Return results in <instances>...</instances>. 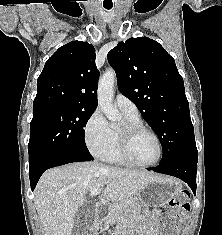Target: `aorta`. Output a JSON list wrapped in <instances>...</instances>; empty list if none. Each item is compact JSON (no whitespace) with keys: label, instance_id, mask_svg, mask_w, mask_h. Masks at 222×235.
Segmentation results:
<instances>
[{"label":"aorta","instance_id":"aorta-1","mask_svg":"<svg viewBox=\"0 0 222 235\" xmlns=\"http://www.w3.org/2000/svg\"><path fill=\"white\" fill-rule=\"evenodd\" d=\"M115 79V71L110 68L101 76L98 84V104L106 117L112 122L121 120L119 110L113 105Z\"/></svg>","mask_w":222,"mask_h":235}]
</instances>
